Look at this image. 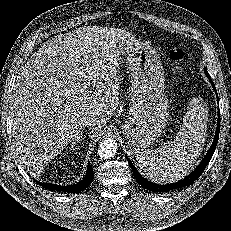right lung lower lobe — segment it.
<instances>
[{"label": "right lung lower lobe", "instance_id": "obj_1", "mask_svg": "<svg viewBox=\"0 0 231 231\" xmlns=\"http://www.w3.org/2000/svg\"><path fill=\"white\" fill-rule=\"evenodd\" d=\"M87 173L84 177V179L77 184L74 185H56L52 183H43V182H38L37 183L49 190H55V191H63V192H68V193H78L80 191H83L85 188H87L92 180H93V168L91 167L90 163L87 166Z\"/></svg>", "mask_w": 231, "mask_h": 231}]
</instances>
